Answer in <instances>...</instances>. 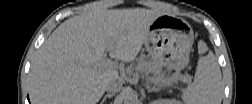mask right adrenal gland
Listing matches in <instances>:
<instances>
[{"instance_id":"2a0ac1e0","label":"right adrenal gland","mask_w":252,"mask_h":104,"mask_svg":"<svg viewBox=\"0 0 252 104\" xmlns=\"http://www.w3.org/2000/svg\"><path fill=\"white\" fill-rule=\"evenodd\" d=\"M113 96H114L113 93H111V94H106V95L103 97V99H102V101L100 102V104H103V103L106 101L107 98H112Z\"/></svg>"}]
</instances>
